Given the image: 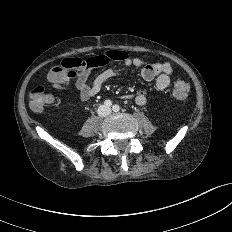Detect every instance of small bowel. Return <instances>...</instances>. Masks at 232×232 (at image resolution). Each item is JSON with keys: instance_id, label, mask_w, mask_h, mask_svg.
<instances>
[{"instance_id": "1", "label": "small bowel", "mask_w": 232, "mask_h": 232, "mask_svg": "<svg viewBox=\"0 0 232 232\" xmlns=\"http://www.w3.org/2000/svg\"><path fill=\"white\" fill-rule=\"evenodd\" d=\"M92 65L85 70L79 72L74 78L75 87L79 92L80 99L87 101L96 96L104 83L121 75L122 73L116 69L107 68L98 74L92 81L90 80L91 70L96 67L105 66L110 62H120L127 67H135L140 69L141 76L146 81L155 80V87L158 91L167 89L171 83V75L173 68L169 63L148 62L145 59L138 57H130L126 51L123 50H109L103 54L92 57ZM48 80L56 89H65L70 80L55 81L51 74H48ZM127 99H134L135 103L144 106L148 102L145 93H138L135 96L127 95Z\"/></svg>"}]
</instances>
